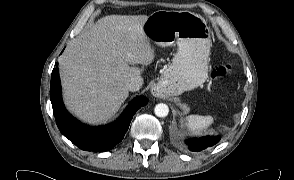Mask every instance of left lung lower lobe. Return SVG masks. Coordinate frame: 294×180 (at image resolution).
<instances>
[{
  "mask_svg": "<svg viewBox=\"0 0 294 180\" xmlns=\"http://www.w3.org/2000/svg\"><path fill=\"white\" fill-rule=\"evenodd\" d=\"M220 136H206L201 138H191L186 140V145L190 151L199 152L211 147L219 142Z\"/></svg>",
  "mask_w": 294,
  "mask_h": 180,
  "instance_id": "obj_1",
  "label": "left lung lower lobe"
}]
</instances>
